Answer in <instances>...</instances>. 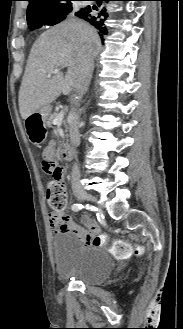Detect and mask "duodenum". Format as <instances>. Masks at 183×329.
<instances>
[{
	"instance_id": "duodenum-1",
	"label": "duodenum",
	"mask_w": 183,
	"mask_h": 329,
	"mask_svg": "<svg viewBox=\"0 0 183 329\" xmlns=\"http://www.w3.org/2000/svg\"><path fill=\"white\" fill-rule=\"evenodd\" d=\"M75 150L72 147H65L62 151L63 159L69 161L73 158Z\"/></svg>"
}]
</instances>
